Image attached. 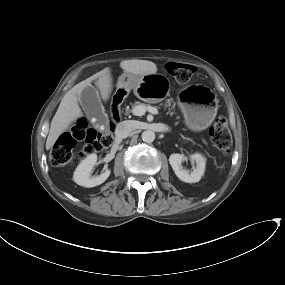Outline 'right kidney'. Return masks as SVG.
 <instances>
[{
    "mask_svg": "<svg viewBox=\"0 0 285 285\" xmlns=\"http://www.w3.org/2000/svg\"><path fill=\"white\" fill-rule=\"evenodd\" d=\"M97 155L90 154L76 168L73 180L76 184L84 187H95L107 180L111 171L104 168L99 176H91L93 167L96 165Z\"/></svg>",
    "mask_w": 285,
    "mask_h": 285,
    "instance_id": "1",
    "label": "right kidney"
}]
</instances>
